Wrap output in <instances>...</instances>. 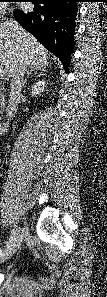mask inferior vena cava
<instances>
[{"label": "inferior vena cava", "mask_w": 107, "mask_h": 297, "mask_svg": "<svg viewBox=\"0 0 107 297\" xmlns=\"http://www.w3.org/2000/svg\"><path fill=\"white\" fill-rule=\"evenodd\" d=\"M1 32L5 34L16 36L19 31L18 24L13 19H2ZM30 65V60L24 52H19L16 56L14 64L10 69V94L7 107V116L9 118L15 117L18 110V105L22 98V89L25 86V74L28 72L27 68Z\"/></svg>", "instance_id": "obj_1"}]
</instances>
